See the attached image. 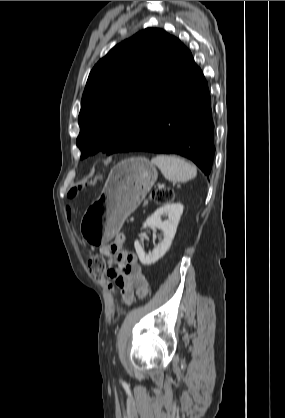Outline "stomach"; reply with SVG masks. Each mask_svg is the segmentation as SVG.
Returning a JSON list of instances; mask_svg holds the SVG:
<instances>
[{
  "instance_id": "0dacf381",
  "label": "stomach",
  "mask_w": 285,
  "mask_h": 418,
  "mask_svg": "<svg viewBox=\"0 0 285 418\" xmlns=\"http://www.w3.org/2000/svg\"><path fill=\"white\" fill-rule=\"evenodd\" d=\"M157 176L155 166L144 157H132L116 164L102 194L82 218V237L93 245L111 240L140 205Z\"/></svg>"
}]
</instances>
